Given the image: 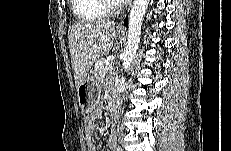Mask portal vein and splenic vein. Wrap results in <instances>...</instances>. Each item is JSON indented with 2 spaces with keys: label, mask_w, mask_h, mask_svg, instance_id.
I'll return each instance as SVG.
<instances>
[{
  "label": "portal vein and splenic vein",
  "mask_w": 231,
  "mask_h": 151,
  "mask_svg": "<svg viewBox=\"0 0 231 151\" xmlns=\"http://www.w3.org/2000/svg\"><path fill=\"white\" fill-rule=\"evenodd\" d=\"M113 60H114V56H109L108 58L105 59L104 64L108 65Z\"/></svg>",
  "instance_id": "portal-vein-and-splenic-vein-1"
}]
</instances>
